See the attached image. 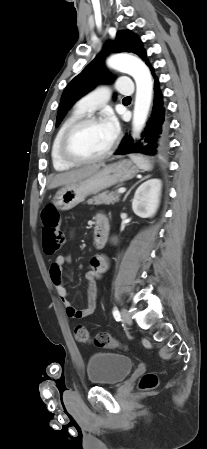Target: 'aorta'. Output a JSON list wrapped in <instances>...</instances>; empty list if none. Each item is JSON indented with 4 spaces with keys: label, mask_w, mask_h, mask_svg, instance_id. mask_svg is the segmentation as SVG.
<instances>
[{
    "label": "aorta",
    "mask_w": 207,
    "mask_h": 449,
    "mask_svg": "<svg viewBox=\"0 0 207 449\" xmlns=\"http://www.w3.org/2000/svg\"><path fill=\"white\" fill-rule=\"evenodd\" d=\"M108 67L131 75L136 83V97L133 112V129L140 132L146 122L153 93V81L148 67L139 58L116 54L107 60Z\"/></svg>",
    "instance_id": "aorta-1"
}]
</instances>
